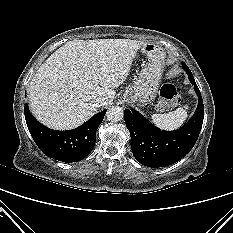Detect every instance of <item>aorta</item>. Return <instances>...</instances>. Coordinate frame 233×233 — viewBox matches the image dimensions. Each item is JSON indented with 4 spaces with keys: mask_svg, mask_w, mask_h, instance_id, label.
<instances>
[{
    "mask_svg": "<svg viewBox=\"0 0 233 233\" xmlns=\"http://www.w3.org/2000/svg\"><path fill=\"white\" fill-rule=\"evenodd\" d=\"M106 116L109 121L118 122L123 118L124 111L119 106H112L110 109L107 110Z\"/></svg>",
    "mask_w": 233,
    "mask_h": 233,
    "instance_id": "aorta-1",
    "label": "aorta"
}]
</instances>
